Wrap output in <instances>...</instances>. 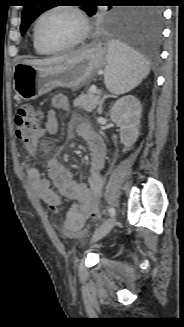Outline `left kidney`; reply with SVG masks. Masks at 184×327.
I'll return each instance as SVG.
<instances>
[{"mask_svg":"<svg viewBox=\"0 0 184 327\" xmlns=\"http://www.w3.org/2000/svg\"><path fill=\"white\" fill-rule=\"evenodd\" d=\"M142 106L133 95H127L116 101L110 111L111 120L120 126V139L125 148L129 150L139 136Z\"/></svg>","mask_w":184,"mask_h":327,"instance_id":"5707ae66","label":"left kidney"}]
</instances>
